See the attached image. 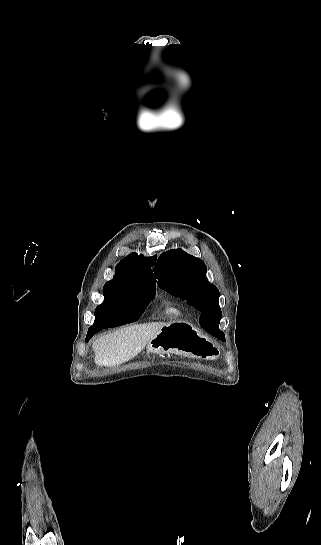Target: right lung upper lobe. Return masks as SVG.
<instances>
[{
    "instance_id": "obj_1",
    "label": "right lung upper lobe",
    "mask_w": 321,
    "mask_h": 545,
    "mask_svg": "<svg viewBox=\"0 0 321 545\" xmlns=\"http://www.w3.org/2000/svg\"><path fill=\"white\" fill-rule=\"evenodd\" d=\"M155 260L156 257L145 258L131 253L116 266L115 277L105 285L130 290L156 288V279L151 270Z\"/></svg>"
}]
</instances>
